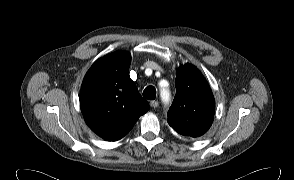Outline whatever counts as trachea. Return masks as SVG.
<instances>
[{"mask_svg":"<svg viewBox=\"0 0 294 180\" xmlns=\"http://www.w3.org/2000/svg\"><path fill=\"white\" fill-rule=\"evenodd\" d=\"M143 96L146 99L154 100L156 98V89L154 86H147L143 91Z\"/></svg>","mask_w":294,"mask_h":180,"instance_id":"3493384b","label":"trachea"}]
</instances>
